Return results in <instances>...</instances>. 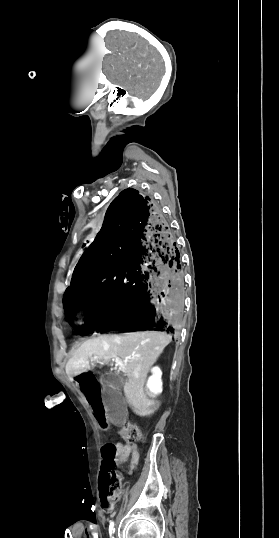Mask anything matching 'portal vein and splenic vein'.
Instances as JSON below:
<instances>
[{"label": "portal vein and splenic vein", "mask_w": 279, "mask_h": 538, "mask_svg": "<svg viewBox=\"0 0 279 538\" xmlns=\"http://www.w3.org/2000/svg\"><path fill=\"white\" fill-rule=\"evenodd\" d=\"M98 356H94V360H97ZM115 366H124L123 360H120V358H115Z\"/></svg>", "instance_id": "portal-vein-and-splenic-vein-1"}]
</instances>
